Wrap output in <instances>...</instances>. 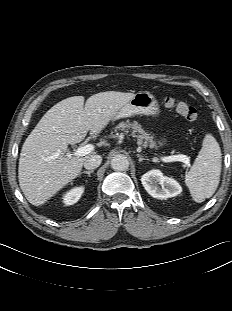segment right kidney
<instances>
[{"mask_svg": "<svg viewBox=\"0 0 232 311\" xmlns=\"http://www.w3.org/2000/svg\"><path fill=\"white\" fill-rule=\"evenodd\" d=\"M83 192H84V187L82 186L71 189L69 192L64 194L62 198L63 203L65 205H73L80 199Z\"/></svg>", "mask_w": 232, "mask_h": 311, "instance_id": "ca27d5eb", "label": "right kidney"}]
</instances>
